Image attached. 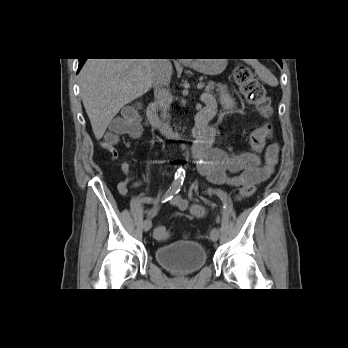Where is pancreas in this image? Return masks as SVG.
Returning <instances> with one entry per match:
<instances>
[{"label": "pancreas", "mask_w": 348, "mask_h": 348, "mask_svg": "<svg viewBox=\"0 0 348 348\" xmlns=\"http://www.w3.org/2000/svg\"><path fill=\"white\" fill-rule=\"evenodd\" d=\"M216 88V84L213 83V82H208L206 87H205V91L206 92H209V93H213V91L215 90Z\"/></svg>", "instance_id": "1"}]
</instances>
